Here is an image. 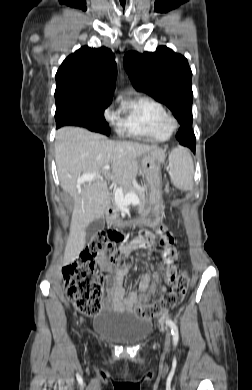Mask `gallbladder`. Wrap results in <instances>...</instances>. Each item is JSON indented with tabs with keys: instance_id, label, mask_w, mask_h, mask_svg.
Masks as SVG:
<instances>
[{
	"instance_id": "obj_1",
	"label": "gallbladder",
	"mask_w": 252,
	"mask_h": 390,
	"mask_svg": "<svg viewBox=\"0 0 252 390\" xmlns=\"http://www.w3.org/2000/svg\"><path fill=\"white\" fill-rule=\"evenodd\" d=\"M104 229V220L96 219L92 221L86 228V239L90 241L98 232Z\"/></svg>"
}]
</instances>
